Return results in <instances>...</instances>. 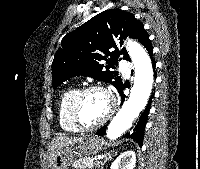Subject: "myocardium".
Wrapping results in <instances>:
<instances>
[{
    "label": "myocardium",
    "instance_id": "myocardium-1",
    "mask_svg": "<svg viewBox=\"0 0 200 169\" xmlns=\"http://www.w3.org/2000/svg\"><path fill=\"white\" fill-rule=\"evenodd\" d=\"M93 91H98L106 95L109 102V108L105 116L98 123L91 126H85L81 123V120L79 118V112H78L79 105L83 97L89 92H93ZM115 110H116V100L113 93L108 88L102 85H89L80 89L74 96L71 102V106H70L71 119L73 123L75 124V126L80 131H93L100 128L113 116V114L115 113Z\"/></svg>",
    "mask_w": 200,
    "mask_h": 169
}]
</instances>
